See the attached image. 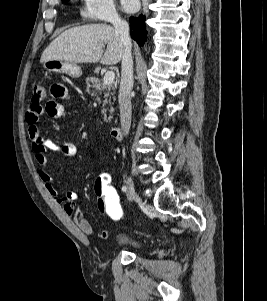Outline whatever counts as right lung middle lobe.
I'll return each mask as SVG.
<instances>
[{
  "label": "right lung middle lobe",
  "instance_id": "dd1d6c3e",
  "mask_svg": "<svg viewBox=\"0 0 267 301\" xmlns=\"http://www.w3.org/2000/svg\"><path fill=\"white\" fill-rule=\"evenodd\" d=\"M67 1H69V0H62V2H67Z\"/></svg>",
  "mask_w": 267,
  "mask_h": 301
}]
</instances>
